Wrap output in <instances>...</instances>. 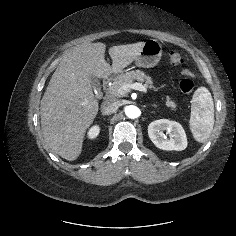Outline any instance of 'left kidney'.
Wrapping results in <instances>:
<instances>
[{
    "label": "left kidney",
    "mask_w": 236,
    "mask_h": 236,
    "mask_svg": "<svg viewBox=\"0 0 236 236\" xmlns=\"http://www.w3.org/2000/svg\"><path fill=\"white\" fill-rule=\"evenodd\" d=\"M164 131H166V135ZM148 135L154 145L162 150L182 151L187 147L185 131L175 121L159 119L151 122L148 126Z\"/></svg>",
    "instance_id": "5707ae66"
}]
</instances>
